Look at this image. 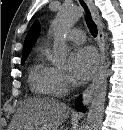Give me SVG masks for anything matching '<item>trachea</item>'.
Here are the masks:
<instances>
[{
	"label": "trachea",
	"mask_w": 123,
	"mask_h": 130,
	"mask_svg": "<svg viewBox=\"0 0 123 130\" xmlns=\"http://www.w3.org/2000/svg\"><path fill=\"white\" fill-rule=\"evenodd\" d=\"M80 4L82 5V7L84 8L85 10V13H86V22H87V25H88V28L90 30V33L96 37L97 34H98V30H97V26L96 24L93 22L92 20V17H91V14H90V11L88 10L85 2L83 0H79Z\"/></svg>",
	"instance_id": "obj_1"
}]
</instances>
